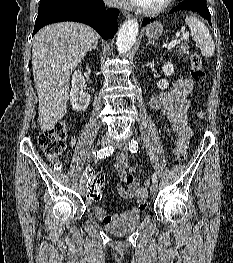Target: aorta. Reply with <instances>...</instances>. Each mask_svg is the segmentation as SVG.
Instances as JSON below:
<instances>
[{
	"label": "aorta",
	"mask_w": 233,
	"mask_h": 263,
	"mask_svg": "<svg viewBox=\"0 0 233 263\" xmlns=\"http://www.w3.org/2000/svg\"><path fill=\"white\" fill-rule=\"evenodd\" d=\"M138 28L139 25L135 19H129L123 23L117 37V49L120 54H124L132 48L138 35Z\"/></svg>",
	"instance_id": "obj_1"
}]
</instances>
